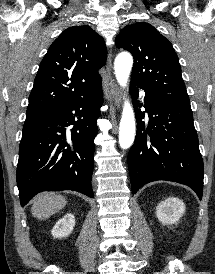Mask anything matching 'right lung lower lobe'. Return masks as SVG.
Listing matches in <instances>:
<instances>
[{
    "instance_id": "obj_1",
    "label": "right lung lower lobe",
    "mask_w": 215,
    "mask_h": 274,
    "mask_svg": "<svg viewBox=\"0 0 215 274\" xmlns=\"http://www.w3.org/2000/svg\"><path fill=\"white\" fill-rule=\"evenodd\" d=\"M102 102L100 82L23 131L17 166L21 206L42 191L74 190L93 198L94 139ZM69 125L71 133L66 132Z\"/></svg>"
}]
</instances>
